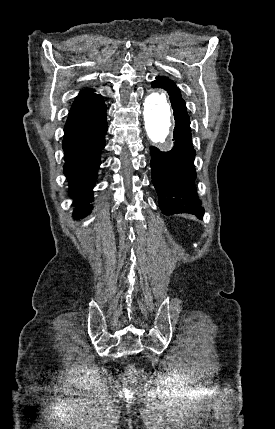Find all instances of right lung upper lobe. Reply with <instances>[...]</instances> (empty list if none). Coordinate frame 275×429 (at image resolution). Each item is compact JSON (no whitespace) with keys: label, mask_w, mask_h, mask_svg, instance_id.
<instances>
[{"label":"right lung upper lobe","mask_w":275,"mask_h":429,"mask_svg":"<svg viewBox=\"0 0 275 429\" xmlns=\"http://www.w3.org/2000/svg\"><path fill=\"white\" fill-rule=\"evenodd\" d=\"M106 108L103 98L92 89L82 90L75 99L66 124H73L96 116Z\"/></svg>","instance_id":"cb5924a9"}]
</instances>
